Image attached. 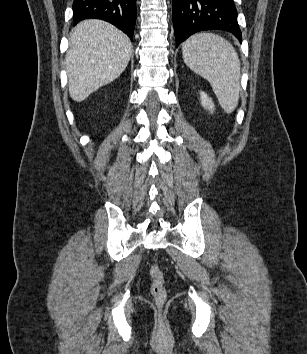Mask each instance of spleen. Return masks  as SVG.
I'll list each match as a JSON object with an SVG mask.
<instances>
[{"instance_id":"3e777b00","label":"spleen","mask_w":307,"mask_h":354,"mask_svg":"<svg viewBox=\"0 0 307 354\" xmlns=\"http://www.w3.org/2000/svg\"><path fill=\"white\" fill-rule=\"evenodd\" d=\"M185 64L207 79L226 113L238 105L240 91V61L233 46L213 33H198L182 44Z\"/></svg>"}]
</instances>
